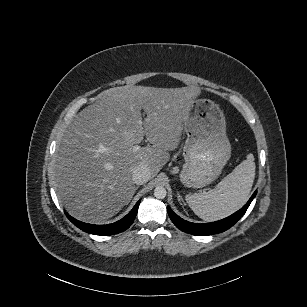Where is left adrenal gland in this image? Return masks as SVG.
I'll return each instance as SVG.
<instances>
[{"label": "left adrenal gland", "mask_w": 307, "mask_h": 307, "mask_svg": "<svg viewBox=\"0 0 307 307\" xmlns=\"http://www.w3.org/2000/svg\"><path fill=\"white\" fill-rule=\"evenodd\" d=\"M178 198H179V200H182V202L184 203V200L182 199V197L179 194H178Z\"/></svg>", "instance_id": "a2214340"}]
</instances>
